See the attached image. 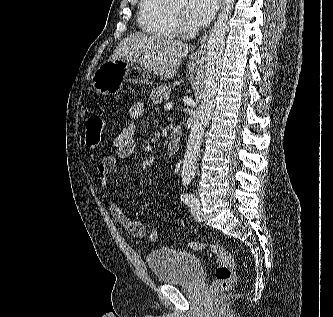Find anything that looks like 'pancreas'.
<instances>
[{
    "instance_id": "1",
    "label": "pancreas",
    "mask_w": 333,
    "mask_h": 317,
    "mask_svg": "<svg viewBox=\"0 0 333 317\" xmlns=\"http://www.w3.org/2000/svg\"><path fill=\"white\" fill-rule=\"evenodd\" d=\"M171 92V88L168 85H161L152 89L149 99L153 104L161 103L162 100L168 96Z\"/></svg>"
}]
</instances>
